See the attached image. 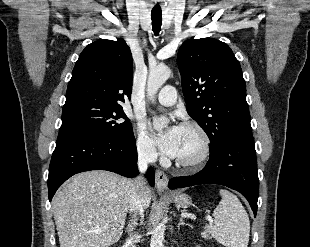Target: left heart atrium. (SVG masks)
Wrapping results in <instances>:
<instances>
[{
    "label": "left heart atrium",
    "mask_w": 310,
    "mask_h": 247,
    "mask_svg": "<svg viewBox=\"0 0 310 247\" xmlns=\"http://www.w3.org/2000/svg\"><path fill=\"white\" fill-rule=\"evenodd\" d=\"M181 127L171 125L166 130L156 134L157 144L162 152L170 157H176Z\"/></svg>",
    "instance_id": "39dd6f15"
}]
</instances>
